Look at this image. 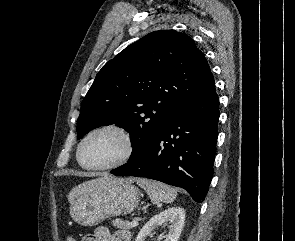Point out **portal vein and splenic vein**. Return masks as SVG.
Returning <instances> with one entry per match:
<instances>
[{
    "mask_svg": "<svg viewBox=\"0 0 295 241\" xmlns=\"http://www.w3.org/2000/svg\"><path fill=\"white\" fill-rule=\"evenodd\" d=\"M130 225H131L132 227H137V226H138V222H137L136 220H132V221L130 222Z\"/></svg>",
    "mask_w": 295,
    "mask_h": 241,
    "instance_id": "1",
    "label": "portal vein and splenic vein"
}]
</instances>
